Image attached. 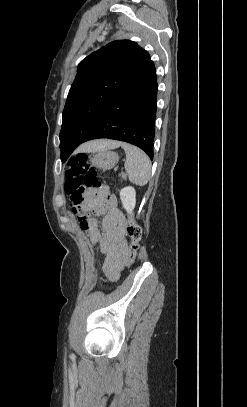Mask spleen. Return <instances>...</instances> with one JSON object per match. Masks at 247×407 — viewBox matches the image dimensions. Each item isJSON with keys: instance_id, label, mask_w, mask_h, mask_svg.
I'll return each instance as SVG.
<instances>
[{"instance_id": "obj_1", "label": "spleen", "mask_w": 247, "mask_h": 407, "mask_svg": "<svg viewBox=\"0 0 247 407\" xmlns=\"http://www.w3.org/2000/svg\"><path fill=\"white\" fill-rule=\"evenodd\" d=\"M126 153L125 171L129 181L138 186L148 183L151 173V162L149 157L141 149L128 143H122Z\"/></svg>"}]
</instances>
